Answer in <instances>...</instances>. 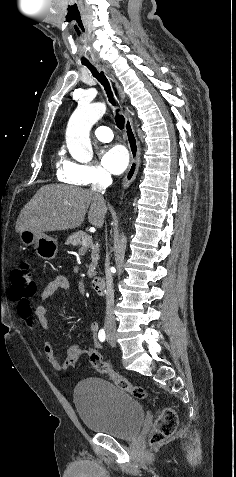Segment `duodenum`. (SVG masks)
I'll return each mask as SVG.
<instances>
[{
	"label": "duodenum",
	"instance_id": "obj_1",
	"mask_svg": "<svg viewBox=\"0 0 236 477\" xmlns=\"http://www.w3.org/2000/svg\"><path fill=\"white\" fill-rule=\"evenodd\" d=\"M93 291L98 295H104L106 292V281L102 277H95L91 281Z\"/></svg>",
	"mask_w": 236,
	"mask_h": 477
}]
</instances>
